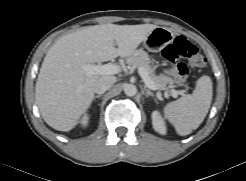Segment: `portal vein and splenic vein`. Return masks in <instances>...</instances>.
Wrapping results in <instances>:
<instances>
[{
	"label": "portal vein and splenic vein",
	"mask_w": 246,
	"mask_h": 181,
	"mask_svg": "<svg viewBox=\"0 0 246 181\" xmlns=\"http://www.w3.org/2000/svg\"><path fill=\"white\" fill-rule=\"evenodd\" d=\"M82 69L85 71L87 75H111L117 74L120 72V68L115 64H105V65H92V64H84L82 65ZM138 73L143 79L146 86L152 90H158V86L150 79L148 73L142 68H138ZM185 90L177 91L171 90V95L174 98H177L178 95H184Z\"/></svg>",
	"instance_id": "1"
}]
</instances>
